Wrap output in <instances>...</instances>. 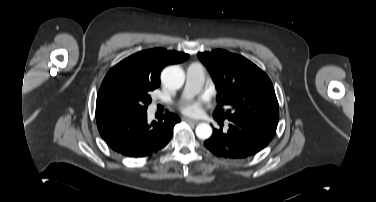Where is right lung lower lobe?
I'll return each mask as SVG.
<instances>
[{
    "mask_svg": "<svg viewBox=\"0 0 376 202\" xmlns=\"http://www.w3.org/2000/svg\"><path fill=\"white\" fill-rule=\"evenodd\" d=\"M96 118L99 133L107 145L135 158L150 156L164 148L172 137L174 125L180 122L177 115L169 112L150 125L147 112L111 113Z\"/></svg>",
    "mask_w": 376,
    "mask_h": 202,
    "instance_id": "right-lung-lower-lobe-1",
    "label": "right lung lower lobe"
}]
</instances>
